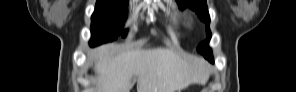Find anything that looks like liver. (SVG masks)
I'll list each match as a JSON object with an SVG mask.
<instances>
[{
  "instance_id": "liver-1",
  "label": "liver",
  "mask_w": 296,
  "mask_h": 92,
  "mask_svg": "<svg viewBox=\"0 0 296 92\" xmlns=\"http://www.w3.org/2000/svg\"><path fill=\"white\" fill-rule=\"evenodd\" d=\"M115 44L90 52L96 59L99 92H130L137 79V92H176L205 81L210 65L193 55H180L165 47H136L112 55Z\"/></svg>"
}]
</instances>
